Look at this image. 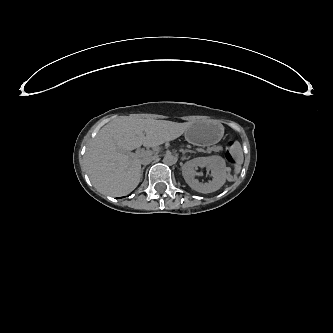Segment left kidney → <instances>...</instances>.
I'll return each instance as SVG.
<instances>
[{"mask_svg":"<svg viewBox=\"0 0 333 333\" xmlns=\"http://www.w3.org/2000/svg\"><path fill=\"white\" fill-rule=\"evenodd\" d=\"M198 168H206L211 171L212 179L207 182H200L196 177ZM225 160L218 155L197 157L187 161L182 167V175L186 183L195 191L200 193H212L219 190L226 182L227 172Z\"/></svg>","mask_w":333,"mask_h":333,"instance_id":"obj_1","label":"left kidney"}]
</instances>
